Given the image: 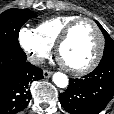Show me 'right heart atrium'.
<instances>
[{
  "label": "right heart atrium",
  "instance_id": "right-heart-atrium-1",
  "mask_svg": "<svg viewBox=\"0 0 114 114\" xmlns=\"http://www.w3.org/2000/svg\"><path fill=\"white\" fill-rule=\"evenodd\" d=\"M18 40L34 64L42 63L51 53L52 47L43 42L35 33L34 29L22 28L19 31Z\"/></svg>",
  "mask_w": 114,
  "mask_h": 114
}]
</instances>
